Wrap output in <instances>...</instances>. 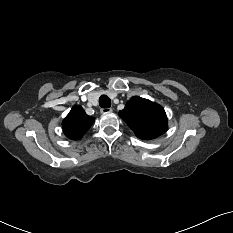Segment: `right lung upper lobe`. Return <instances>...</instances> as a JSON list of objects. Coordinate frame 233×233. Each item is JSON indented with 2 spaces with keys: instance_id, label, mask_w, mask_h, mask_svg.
Listing matches in <instances>:
<instances>
[{
  "instance_id": "obj_1",
  "label": "right lung upper lobe",
  "mask_w": 233,
  "mask_h": 233,
  "mask_svg": "<svg viewBox=\"0 0 233 233\" xmlns=\"http://www.w3.org/2000/svg\"><path fill=\"white\" fill-rule=\"evenodd\" d=\"M94 118L88 116L82 107L73 106L62 122L64 134L72 140H79L89 130Z\"/></svg>"
}]
</instances>
